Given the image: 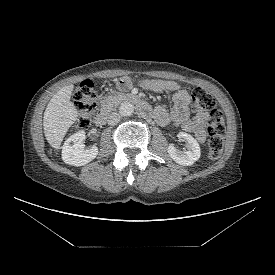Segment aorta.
Returning a JSON list of instances; mask_svg holds the SVG:
<instances>
[{
    "instance_id": "762f6f07",
    "label": "aorta",
    "mask_w": 275,
    "mask_h": 275,
    "mask_svg": "<svg viewBox=\"0 0 275 275\" xmlns=\"http://www.w3.org/2000/svg\"><path fill=\"white\" fill-rule=\"evenodd\" d=\"M122 116H131L134 113V105L130 102H123L119 107Z\"/></svg>"
}]
</instances>
